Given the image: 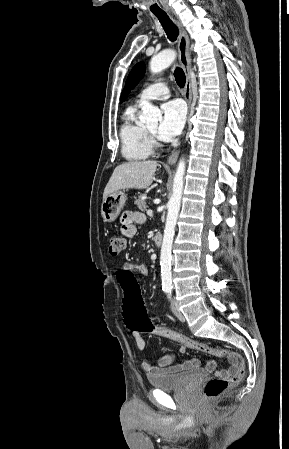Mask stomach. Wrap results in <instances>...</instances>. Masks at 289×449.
<instances>
[{
  "instance_id": "stomach-1",
  "label": "stomach",
  "mask_w": 289,
  "mask_h": 449,
  "mask_svg": "<svg viewBox=\"0 0 289 449\" xmlns=\"http://www.w3.org/2000/svg\"><path fill=\"white\" fill-rule=\"evenodd\" d=\"M127 196L124 191L111 193L103 200L101 215L105 222H113L123 209Z\"/></svg>"
}]
</instances>
